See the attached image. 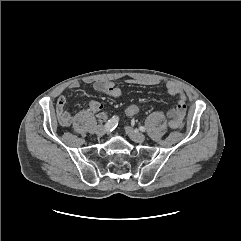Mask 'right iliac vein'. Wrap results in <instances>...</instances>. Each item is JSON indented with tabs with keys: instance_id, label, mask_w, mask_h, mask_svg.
Here are the masks:
<instances>
[{
	"instance_id": "obj_1",
	"label": "right iliac vein",
	"mask_w": 241,
	"mask_h": 241,
	"mask_svg": "<svg viewBox=\"0 0 241 241\" xmlns=\"http://www.w3.org/2000/svg\"><path fill=\"white\" fill-rule=\"evenodd\" d=\"M106 131L107 130H106L105 126L99 125V126H97L95 133L97 136H103L106 133Z\"/></svg>"
}]
</instances>
